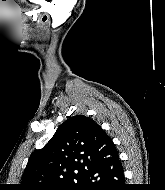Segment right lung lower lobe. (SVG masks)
I'll return each instance as SVG.
<instances>
[{
	"label": "right lung lower lobe",
	"mask_w": 165,
	"mask_h": 190,
	"mask_svg": "<svg viewBox=\"0 0 165 190\" xmlns=\"http://www.w3.org/2000/svg\"><path fill=\"white\" fill-rule=\"evenodd\" d=\"M118 153L87 170L78 190H126Z\"/></svg>",
	"instance_id": "98d812e1"
}]
</instances>
